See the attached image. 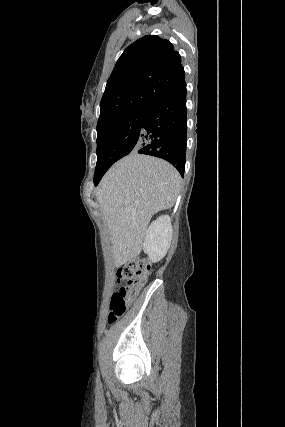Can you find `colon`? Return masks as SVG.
Masks as SVG:
<instances>
[{"mask_svg":"<svg viewBox=\"0 0 285 427\" xmlns=\"http://www.w3.org/2000/svg\"><path fill=\"white\" fill-rule=\"evenodd\" d=\"M150 272L151 263L144 258L131 259L118 268L116 273L118 287L110 296L108 324L114 323L125 313L138 296Z\"/></svg>","mask_w":285,"mask_h":427,"instance_id":"obj_1","label":"colon"}]
</instances>
